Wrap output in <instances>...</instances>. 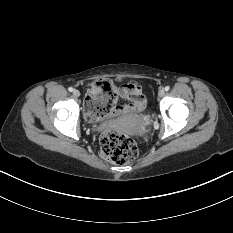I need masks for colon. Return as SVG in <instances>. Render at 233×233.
<instances>
[{"instance_id":"1","label":"colon","mask_w":233,"mask_h":233,"mask_svg":"<svg viewBox=\"0 0 233 233\" xmlns=\"http://www.w3.org/2000/svg\"><path fill=\"white\" fill-rule=\"evenodd\" d=\"M115 85L109 80L94 81L89 88L85 103L88 119L98 120L114 112L117 106ZM101 153L115 164H126L136 158L138 150L134 140L127 134L108 130L100 137Z\"/></svg>"}]
</instances>
